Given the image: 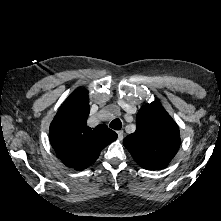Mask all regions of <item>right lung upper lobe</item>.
<instances>
[{
	"label": "right lung upper lobe",
	"mask_w": 221,
	"mask_h": 221,
	"mask_svg": "<svg viewBox=\"0 0 221 221\" xmlns=\"http://www.w3.org/2000/svg\"><path fill=\"white\" fill-rule=\"evenodd\" d=\"M89 112L88 92L78 89L64 101L50 126V142L57 156L76 170L94 163L100 151L117 139L105 124L88 127Z\"/></svg>",
	"instance_id": "cb5924a9"
}]
</instances>
